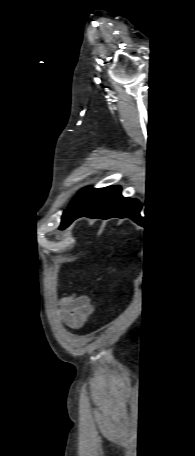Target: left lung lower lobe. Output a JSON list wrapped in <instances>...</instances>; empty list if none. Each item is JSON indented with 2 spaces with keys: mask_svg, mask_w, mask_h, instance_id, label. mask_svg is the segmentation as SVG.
I'll return each mask as SVG.
<instances>
[{
  "mask_svg": "<svg viewBox=\"0 0 195 456\" xmlns=\"http://www.w3.org/2000/svg\"><path fill=\"white\" fill-rule=\"evenodd\" d=\"M139 212L140 204L137 200L123 197L119 186H109L102 188L88 203L69 217L62 229L71 224L73 220L83 216L103 219L129 217L134 221H139L141 219Z\"/></svg>",
  "mask_w": 195,
  "mask_h": 456,
  "instance_id": "left-lung-lower-lobe-1",
  "label": "left lung lower lobe"
}]
</instances>
